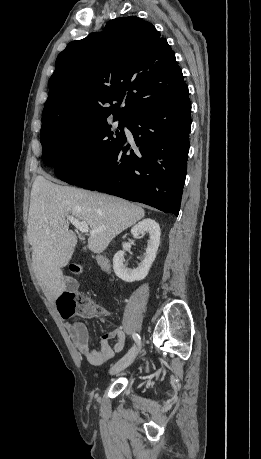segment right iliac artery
I'll return each mask as SVG.
<instances>
[{
    "mask_svg": "<svg viewBox=\"0 0 261 459\" xmlns=\"http://www.w3.org/2000/svg\"><path fill=\"white\" fill-rule=\"evenodd\" d=\"M132 337H133L134 341H135L138 345H140V336H139V334H138V333H133V334H132ZM132 349H133V348H132ZM132 349H131V350H132ZM131 350H130L124 357H122L121 359H125V358L130 354Z\"/></svg>",
    "mask_w": 261,
    "mask_h": 459,
    "instance_id": "1",
    "label": "right iliac artery"
}]
</instances>
